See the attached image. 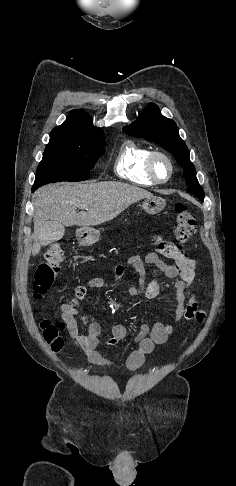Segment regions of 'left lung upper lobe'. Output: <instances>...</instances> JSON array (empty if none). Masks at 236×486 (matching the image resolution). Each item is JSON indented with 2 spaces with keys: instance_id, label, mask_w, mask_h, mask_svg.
<instances>
[{
  "instance_id": "1",
  "label": "left lung upper lobe",
  "mask_w": 236,
  "mask_h": 486,
  "mask_svg": "<svg viewBox=\"0 0 236 486\" xmlns=\"http://www.w3.org/2000/svg\"><path fill=\"white\" fill-rule=\"evenodd\" d=\"M123 131L131 136L143 137L170 151L178 164L184 167L187 191L203 202L204 191L196 178L195 167L189 158V150L179 136L176 123L162 116L155 104H148L138 119L131 125L125 126Z\"/></svg>"
}]
</instances>
